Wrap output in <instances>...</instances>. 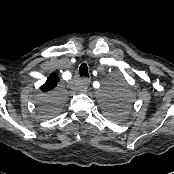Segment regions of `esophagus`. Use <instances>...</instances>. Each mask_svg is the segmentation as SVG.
<instances>
[{
  "instance_id": "obj_1",
  "label": "esophagus",
  "mask_w": 174,
  "mask_h": 174,
  "mask_svg": "<svg viewBox=\"0 0 174 174\" xmlns=\"http://www.w3.org/2000/svg\"><path fill=\"white\" fill-rule=\"evenodd\" d=\"M90 83H91V80L89 78L85 77L81 80V85H82V88L84 89H87Z\"/></svg>"
}]
</instances>
